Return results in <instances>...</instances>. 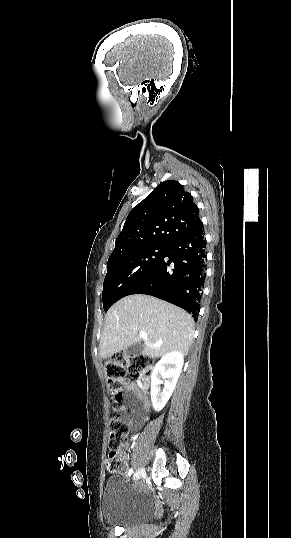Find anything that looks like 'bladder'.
Masks as SVG:
<instances>
[{
	"instance_id": "31cf9c89",
	"label": "bladder",
	"mask_w": 291,
	"mask_h": 538,
	"mask_svg": "<svg viewBox=\"0 0 291 538\" xmlns=\"http://www.w3.org/2000/svg\"><path fill=\"white\" fill-rule=\"evenodd\" d=\"M103 520L106 525L130 527L148 521L153 513V502L140 493L125 475L109 477L103 488Z\"/></svg>"
}]
</instances>
